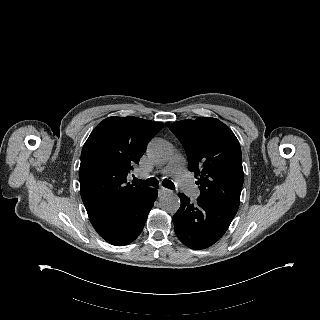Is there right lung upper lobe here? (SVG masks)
<instances>
[{
  "mask_svg": "<svg viewBox=\"0 0 320 320\" xmlns=\"http://www.w3.org/2000/svg\"><path fill=\"white\" fill-rule=\"evenodd\" d=\"M163 123L137 117H109L85 142L79 169L81 197L89 219L134 201L147 188L127 182L151 138Z\"/></svg>",
  "mask_w": 320,
  "mask_h": 320,
  "instance_id": "right-lung-upper-lobe-1",
  "label": "right lung upper lobe"
}]
</instances>
